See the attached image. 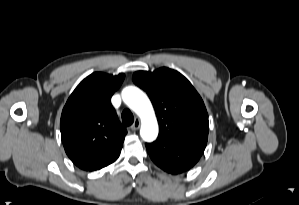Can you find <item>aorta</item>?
Returning <instances> with one entry per match:
<instances>
[{"mask_svg": "<svg viewBox=\"0 0 299 205\" xmlns=\"http://www.w3.org/2000/svg\"><path fill=\"white\" fill-rule=\"evenodd\" d=\"M123 101L141 118L140 135L146 142H151L158 135V123L152 104L140 89L129 86L122 91Z\"/></svg>", "mask_w": 299, "mask_h": 205, "instance_id": "762f6f07", "label": "aorta"}]
</instances>
